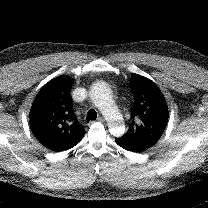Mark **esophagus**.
<instances>
[{
    "label": "esophagus",
    "mask_w": 208,
    "mask_h": 208,
    "mask_svg": "<svg viewBox=\"0 0 208 208\" xmlns=\"http://www.w3.org/2000/svg\"><path fill=\"white\" fill-rule=\"evenodd\" d=\"M98 122H101V123H104L105 122V119L103 117H98Z\"/></svg>",
    "instance_id": "1"
}]
</instances>
